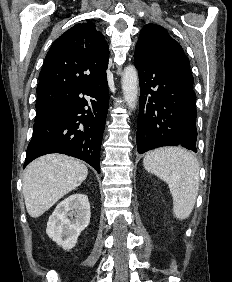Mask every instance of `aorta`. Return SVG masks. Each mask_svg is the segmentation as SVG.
I'll use <instances>...</instances> for the list:
<instances>
[{"instance_id": "762f6f07", "label": "aorta", "mask_w": 232, "mask_h": 282, "mask_svg": "<svg viewBox=\"0 0 232 282\" xmlns=\"http://www.w3.org/2000/svg\"><path fill=\"white\" fill-rule=\"evenodd\" d=\"M122 90L127 105L134 109L138 95V74L134 66L129 65L124 69L122 75Z\"/></svg>"}]
</instances>
